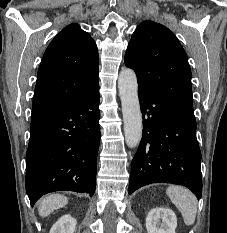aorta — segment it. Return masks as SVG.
<instances>
[{
  "instance_id": "762f6f07",
  "label": "aorta",
  "mask_w": 227,
  "mask_h": 233,
  "mask_svg": "<svg viewBox=\"0 0 227 233\" xmlns=\"http://www.w3.org/2000/svg\"><path fill=\"white\" fill-rule=\"evenodd\" d=\"M118 89L122 105L125 141L135 148L142 138V114L138 98V83L132 69H123L118 78Z\"/></svg>"
}]
</instances>
